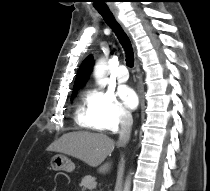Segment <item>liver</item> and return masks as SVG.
I'll return each mask as SVG.
<instances>
[{
  "label": "liver",
  "instance_id": "6515ba94",
  "mask_svg": "<svg viewBox=\"0 0 210 191\" xmlns=\"http://www.w3.org/2000/svg\"><path fill=\"white\" fill-rule=\"evenodd\" d=\"M114 147L115 142L105 134L79 131L64 134L47 150L67 154L91 167H97L112 153ZM110 167V163H105L99 167V172L106 173Z\"/></svg>",
  "mask_w": 210,
  "mask_h": 191
}]
</instances>
